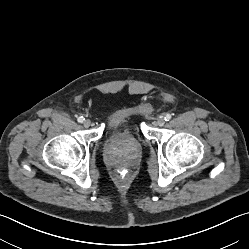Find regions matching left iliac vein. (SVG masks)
<instances>
[{
    "instance_id": "4c4485c4",
    "label": "left iliac vein",
    "mask_w": 249,
    "mask_h": 249,
    "mask_svg": "<svg viewBox=\"0 0 249 249\" xmlns=\"http://www.w3.org/2000/svg\"><path fill=\"white\" fill-rule=\"evenodd\" d=\"M156 124H157L158 126H163V125L165 124L164 118H162V117L158 118V119L156 120Z\"/></svg>"
}]
</instances>
